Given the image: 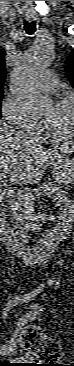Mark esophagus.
Returning <instances> with one entry per match:
<instances>
[{"label":"esophagus","instance_id":"obj_1","mask_svg":"<svg viewBox=\"0 0 74 366\" xmlns=\"http://www.w3.org/2000/svg\"><path fill=\"white\" fill-rule=\"evenodd\" d=\"M27 19H28L29 21L36 20V16H35V14H30V15H28V16H27Z\"/></svg>","mask_w":74,"mask_h":366}]
</instances>
